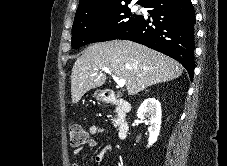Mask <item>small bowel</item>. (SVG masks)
Instances as JSON below:
<instances>
[{"mask_svg": "<svg viewBox=\"0 0 227 166\" xmlns=\"http://www.w3.org/2000/svg\"><path fill=\"white\" fill-rule=\"evenodd\" d=\"M102 132H103V129L96 125H92L89 127V133L92 136H96ZM96 145H97V141L94 138H91L89 143L87 144V146L90 148H93ZM114 151H115V148L113 145H110V144L106 145L103 148V150L94 157L93 159L94 164H100L106 154H112L114 153ZM73 154H74V157L77 159L81 155V148L76 149ZM74 166H80L79 162L75 161Z\"/></svg>", "mask_w": 227, "mask_h": 166, "instance_id": "1", "label": "small bowel"}]
</instances>
